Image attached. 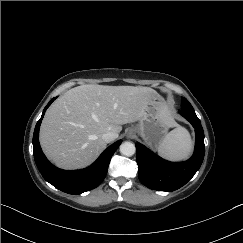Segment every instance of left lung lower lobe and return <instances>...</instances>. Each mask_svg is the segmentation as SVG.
<instances>
[{"label":"left lung lower lobe","instance_id":"obj_1","mask_svg":"<svg viewBox=\"0 0 243 243\" xmlns=\"http://www.w3.org/2000/svg\"><path fill=\"white\" fill-rule=\"evenodd\" d=\"M196 132L193 156L185 162L166 161L140 143H136L138 176L143 185L158 191H174L185 185L199 170L204 154V132L195 112L179 110Z\"/></svg>","mask_w":243,"mask_h":243}]
</instances>
